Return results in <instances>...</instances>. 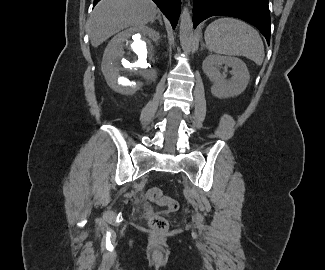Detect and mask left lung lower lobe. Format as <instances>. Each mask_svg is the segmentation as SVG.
Returning <instances> with one entry per match:
<instances>
[{
	"label": "left lung lower lobe",
	"instance_id": "obj_1",
	"mask_svg": "<svg viewBox=\"0 0 325 270\" xmlns=\"http://www.w3.org/2000/svg\"><path fill=\"white\" fill-rule=\"evenodd\" d=\"M232 16L254 25L270 42L268 0H193V26L211 16Z\"/></svg>",
	"mask_w": 325,
	"mask_h": 270
}]
</instances>
